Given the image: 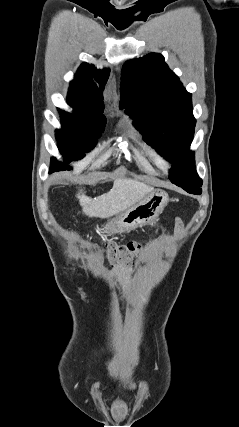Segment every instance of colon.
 Masks as SVG:
<instances>
[{"label":"colon","mask_w":239,"mask_h":427,"mask_svg":"<svg viewBox=\"0 0 239 427\" xmlns=\"http://www.w3.org/2000/svg\"><path fill=\"white\" fill-rule=\"evenodd\" d=\"M142 244L138 241H129L125 244L108 243L106 254L112 265H130L141 253Z\"/></svg>","instance_id":"5ec220e1"}]
</instances>
